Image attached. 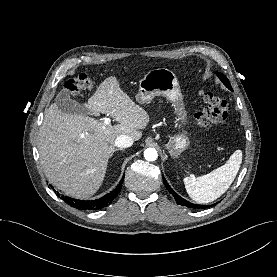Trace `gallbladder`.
Returning a JSON list of instances; mask_svg holds the SVG:
<instances>
[{"mask_svg": "<svg viewBox=\"0 0 277 277\" xmlns=\"http://www.w3.org/2000/svg\"><path fill=\"white\" fill-rule=\"evenodd\" d=\"M55 103L59 110L66 114L90 115V110L73 100L67 89H62L56 97Z\"/></svg>", "mask_w": 277, "mask_h": 277, "instance_id": "gallbladder-1", "label": "gallbladder"}]
</instances>
